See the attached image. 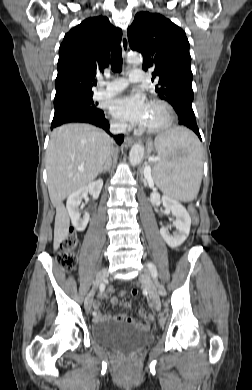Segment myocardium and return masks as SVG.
<instances>
[{"mask_svg": "<svg viewBox=\"0 0 252 390\" xmlns=\"http://www.w3.org/2000/svg\"><path fill=\"white\" fill-rule=\"evenodd\" d=\"M149 105L160 106L166 113V119L162 124H160L158 126L144 127L143 131L146 133L156 134V133H160V132L167 130L173 124V121L175 118V112H174L173 107L168 102H166L164 100H160V99L151 100Z\"/></svg>", "mask_w": 252, "mask_h": 390, "instance_id": "myocardium-1", "label": "myocardium"}]
</instances>
